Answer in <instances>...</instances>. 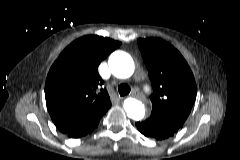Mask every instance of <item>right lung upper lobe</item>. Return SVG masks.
I'll return each mask as SVG.
<instances>
[{"label":"right lung upper lobe","mask_w":240,"mask_h":160,"mask_svg":"<svg viewBox=\"0 0 240 160\" xmlns=\"http://www.w3.org/2000/svg\"><path fill=\"white\" fill-rule=\"evenodd\" d=\"M120 44L97 35L84 36L66 47L51 66L45 99L54 124L63 134L101 118L110 108L98 66Z\"/></svg>","instance_id":"right-lung-upper-lobe-1"}]
</instances>
